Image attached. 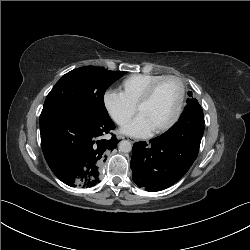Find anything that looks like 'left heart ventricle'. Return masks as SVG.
Wrapping results in <instances>:
<instances>
[{
  "label": "left heart ventricle",
  "mask_w": 250,
  "mask_h": 250,
  "mask_svg": "<svg viewBox=\"0 0 250 250\" xmlns=\"http://www.w3.org/2000/svg\"><path fill=\"white\" fill-rule=\"evenodd\" d=\"M179 95V83L175 80H166L157 87L152 98L140 107L138 114L145 118L153 131L171 119L175 112Z\"/></svg>",
  "instance_id": "left-heart-ventricle-1"
}]
</instances>
